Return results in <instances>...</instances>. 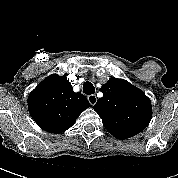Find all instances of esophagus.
I'll list each match as a JSON object with an SVG mask.
<instances>
[{"mask_svg":"<svg viewBox=\"0 0 178 178\" xmlns=\"http://www.w3.org/2000/svg\"><path fill=\"white\" fill-rule=\"evenodd\" d=\"M87 99H88L89 103H90L92 106L95 105L96 102H97V97H96V95H94V94L89 95V96L87 97Z\"/></svg>","mask_w":178,"mask_h":178,"instance_id":"esophagus-1","label":"esophagus"}]
</instances>
